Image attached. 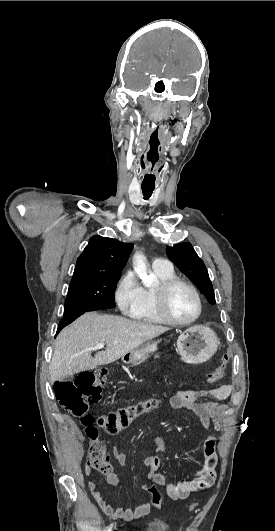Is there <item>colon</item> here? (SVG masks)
<instances>
[{
  "mask_svg": "<svg viewBox=\"0 0 275 531\" xmlns=\"http://www.w3.org/2000/svg\"><path fill=\"white\" fill-rule=\"evenodd\" d=\"M233 353L226 349L216 369L208 374V380L212 385L217 384L223 378L226 367ZM108 379V371L105 368L84 370L78 374L74 381L58 380L53 386V392L58 402L74 416L79 417L85 427L86 435L91 443L90 457L94 469H107L109 462L104 459L107 448L99 441L98 429L94 426V416L88 411L89 404L97 403L101 399V391ZM154 400L138 402L118 411L102 414L99 417L104 428V433L115 434L121 428L127 427L134 419L149 413L155 408ZM142 488L151 493L155 486L148 482ZM160 494V491H155ZM159 499V496H156ZM156 511L161 509L159 504L154 506Z\"/></svg>",
  "mask_w": 275,
  "mask_h": 531,
  "instance_id": "colon-1",
  "label": "colon"
}]
</instances>
